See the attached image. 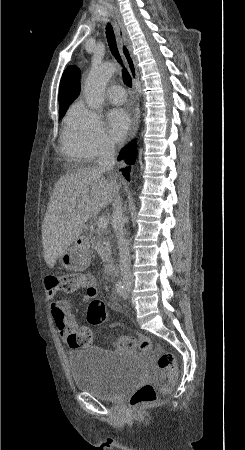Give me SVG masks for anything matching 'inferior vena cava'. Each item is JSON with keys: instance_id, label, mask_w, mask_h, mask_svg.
Here are the masks:
<instances>
[{"instance_id": "602c4592", "label": "inferior vena cava", "mask_w": 245, "mask_h": 450, "mask_svg": "<svg viewBox=\"0 0 245 450\" xmlns=\"http://www.w3.org/2000/svg\"><path fill=\"white\" fill-rule=\"evenodd\" d=\"M116 163L115 146L109 141H105L100 148L98 156V169L102 172L111 171ZM118 191V189H117ZM115 194L112 213V224L115 230L116 237L118 239L117 244L119 248L120 257V270L123 278L124 285H132L133 276L131 273L130 265V252L128 242L124 236V223L121 198Z\"/></svg>"}]
</instances>
